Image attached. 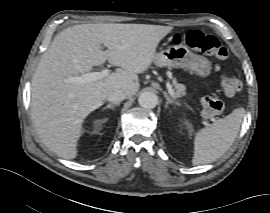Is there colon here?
Listing matches in <instances>:
<instances>
[{
  "label": "colon",
  "instance_id": "obj_1",
  "mask_svg": "<svg viewBox=\"0 0 270 213\" xmlns=\"http://www.w3.org/2000/svg\"><path fill=\"white\" fill-rule=\"evenodd\" d=\"M176 42H185L192 50L200 51L219 60H225L229 53L220 40L211 35H206L200 31H190L184 37L177 36ZM221 86L227 96H236L241 83L236 73L226 75L221 79ZM223 110V103L217 97L206 95L202 98V115L214 117Z\"/></svg>",
  "mask_w": 270,
  "mask_h": 213
}]
</instances>
